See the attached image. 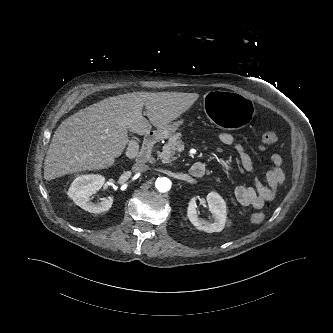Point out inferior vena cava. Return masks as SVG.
<instances>
[{
    "instance_id": "1",
    "label": "inferior vena cava",
    "mask_w": 333,
    "mask_h": 333,
    "mask_svg": "<svg viewBox=\"0 0 333 333\" xmlns=\"http://www.w3.org/2000/svg\"><path fill=\"white\" fill-rule=\"evenodd\" d=\"M149 169L148 165L144 163H136L132 166V170L134 173L145 172Z\"/></svg>"
}]
</instances>
